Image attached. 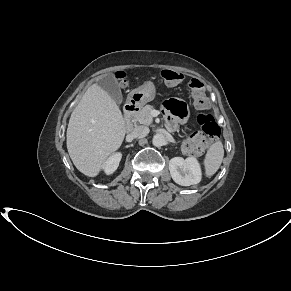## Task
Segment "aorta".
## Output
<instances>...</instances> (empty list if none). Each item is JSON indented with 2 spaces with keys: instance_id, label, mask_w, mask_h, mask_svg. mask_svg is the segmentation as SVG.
<instances>
[{
  "instance_id": "1",
  "label": "aorta",
  "mask_w": 291,
  "mask_h": 291,
  "mask_svg": "<svg viewBox=\"0 0 291 291\" xmlns=\"http://www.w3.org/2000/svg\"><path fill=\"white\" fill-rule=\"evenodd\" d=\"M165 137L163 134L157 133L154 135L153 139H152V143L154 146L156 147H161L165 144Z\"/></svg>"
}]
</instances>
